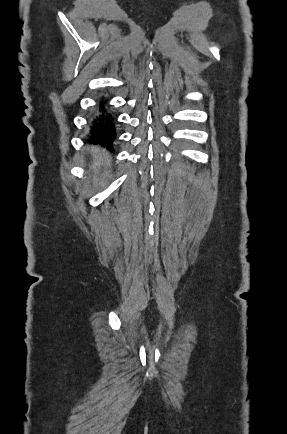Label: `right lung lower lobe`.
I'll return each instance as SVG.
<instances>
[{"instance_id":"right-lung-lower-lobe-1","label":"right lung lower lobe","mask_w":287,"mask_h":434,"mask_svg":"<svg viewBox=\"0 0 287 434\" xmlns=\"http://www.w3.org/2000/svg\"><path fill=\"white\" fill-rule=\"evenodd\" d=\"M104 103V101L100 103L98 114L92 121L91 135L94 143L99 142L112 148V143L116 137L114 118Z\"/></svg>"}]
</instances>
